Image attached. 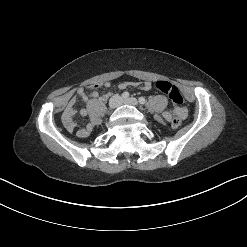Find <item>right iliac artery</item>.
Returning <instances> with one entry per match:
<instances>
[{
    "label": "right iliac artery",
    "instance_id": "obj_1",
    "mask_svg": "<svg viewBox=\"0 0 247 247\" xmlns=\"http://www.w3.org/2000/svg\"><path fill=\"white\" fill-rule=\"evenodd\" d=\"M123 99H128L129 98V93L128 92H123L122 93V96H121Z\"/></svg>",
    "mask_w": 247,
    "mask_h": 247
}]
</instances>
